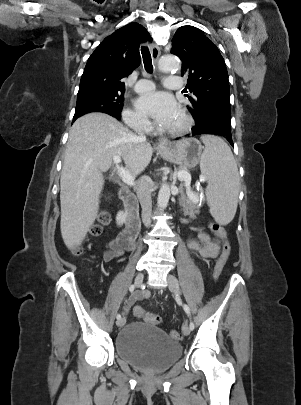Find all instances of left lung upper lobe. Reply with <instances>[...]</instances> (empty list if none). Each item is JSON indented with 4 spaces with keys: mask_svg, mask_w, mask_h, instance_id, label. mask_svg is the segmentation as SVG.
I'll return each instance as SVG.
<instances>
[{
    "mask_svg": "<svg viewBox=\"0 0 301 405\" xmlns=\"http://www.w3.org/2000/svg\"><path fill=\"white\" fill-rule=\"evenodd\" d=\"M170 52L181 59L182 75L188 76L192 115L231 120L228 73L216 45L198 28L186 25L176 31Z\"/></svg>",
    "mask_w": 301,
    "mask_h": 405,
    "instance_id": "obj_1",
    "label": "left lung upper lobe"
}]
</instances>
